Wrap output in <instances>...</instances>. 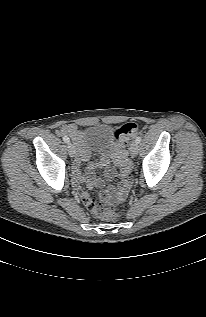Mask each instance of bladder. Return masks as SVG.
<instances>
[{
	"label": "bladder",
	"mask_w": 206,
	"mask_h": 317,
	"mask_svg": "<svg viewBox=\"0 0 206 317\" xmlns=\"http://www.w3.org/2000/svg\"><path fill=\"white\" fill-rule=\"evenodd\" d=\"M82 144L87 148L114 150L118 147L115 130L107 124L90 126L81 132Z\"/></svg>",
	"instance_id": "1"
}]
</instances>
